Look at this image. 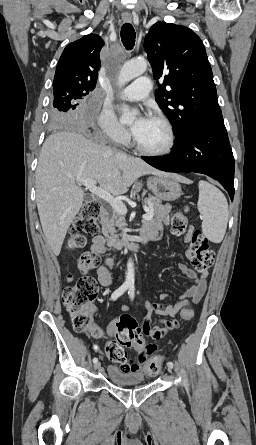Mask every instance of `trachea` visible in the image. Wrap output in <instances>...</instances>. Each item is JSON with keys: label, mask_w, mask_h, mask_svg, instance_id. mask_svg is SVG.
<instances>
[{"label": "trachea", "mask_w": 256, "mask_h": 445, "mask_svg": "<svg viewBox=\"0 0 256 445\" xmlns=\"http://www.w3.org/2000/svg\"><path fill=\"white\" fill-rule=\"evenodd\" d=\"M136 33L130 23H125L121 27V40L127 50H132L135 44Z\"/></svg>", "instance_id": "obj_1"}]
</instances>
